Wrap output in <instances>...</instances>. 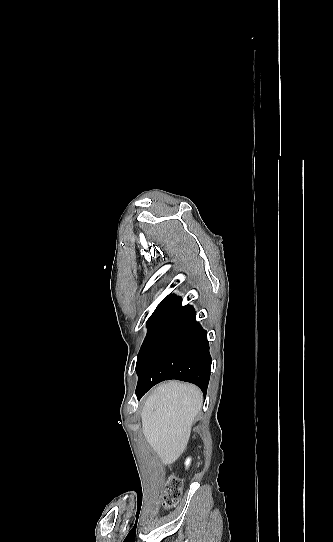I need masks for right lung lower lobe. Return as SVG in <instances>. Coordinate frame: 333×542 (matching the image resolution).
<instances>
[{"instance_id":"obj_1","label":"right lung lower lobe","mask_w":333,"mask_h":542,"mask_svg":"<svg viewBox=\"0 0 333 542\" xmlns=\"http://www.w3.org/2000/svg\"><path fill=\"white\" fill-rule=\"evenodd\" d=\"M150 329L137 358L138 399L157 383L177 379L197 385L206 395L211 356L207 332L181 299L165 298L150 318Z\"/></svg>"}]
</instances>
